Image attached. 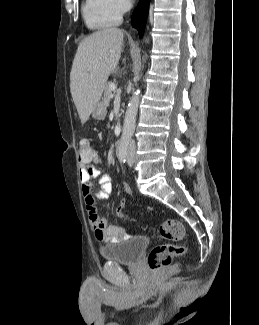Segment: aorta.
Here are the masks:
<instances>
[{
    "instance_id": "1",
    "label": "aorta",
    "mask_w": 259,
    "mask_h": 325,
    "mask_svg": "<svg viewBox=\"0 0 259 325\" xmlns=\"http://www.w3.org/2000/svg\"><path fill=\"white\" fill-rule=\"evenodd\" d=\"M139 101H140V90L137 89L128 103L127 110L124 117L122 138L125 140H130L131 137L133 136L135 130Z\"/></svg>"
}]
</instances>
